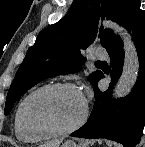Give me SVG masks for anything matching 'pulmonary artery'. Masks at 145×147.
Returning a JSON list of instances; mask_svg holds the SVG:
<instances>
[{
  "instance_id": "e3ab8cb5",
  "label": "pulmonary artery",
  "mask_w": 145,
  "mask_h": 147,
  "mask_svg": "<svg viewBox=\"0 0 145 147\" xmlns=\"http://www.w3.org/2000/svg\"><path fill=\"white\" fill-rule=\"evenodd\" d=\"M93 56L96 59H106L108 57V54L105 51H103V50L96 49L93 52Z\"/></svg>"
}]
</instances>
